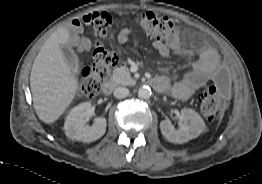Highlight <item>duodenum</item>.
I'll return each mask as SVG.
<instances>
[{"label": "duodenum", "mask_w": 262, "mask_h": 184, "mask_svg": "<svg viewBox=\"0 0 262 184\" xmlns=\"http://www.w3.org/2000/svg\"><path fill=\"white\" fill-rule=\"evenodd\" d=\"M148 83L154 89H157L159 87V82L156 81L155 78L149 79ZM113 86H114V84L111 80L104 82L103 85H102V92L105 95H109L113 90Z\"/></svg>", "instance_id": "410a0bca"}]
</instances>
